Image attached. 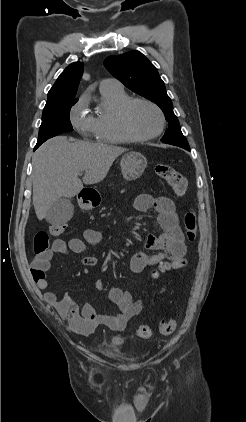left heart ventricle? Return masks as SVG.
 I'll return each mask as SVG.
<instances>
[{
  "label": "left heart ventricle",
  "mask_w": 246,
  "mask_h": 422,
  "mask_svg": "<svg viewBox=\"0 0 246 422\" xmlns=\"http://www.w3.org/2000/svg\"><path fill=\"white\" fill-rule=\"evenodd\" d=\"M130 122L138 134L150 135L159 128L160 118L151 106L138 103L130 111Z\"/></svg>",
  "instance_id": "1"
}]
</instances>
